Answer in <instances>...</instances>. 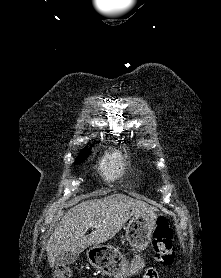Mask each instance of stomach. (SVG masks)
I'll list each match as a JSON object with an SVG mask.
<instances>
[{
    "mask_svg": "<svg viewBox=\"0 0 221 278\" xmlns=\"http://www.w3.org/2000/svg\"><path fill=\"white\" fill-rule=\"evenodd\" d=\"M155 213L136 214L126 227V240L134 249L144 250L151 242L152 233L156 226ZM87 257L97 270L105 275L115 278H139V269H144V264H128L118 249L110 245H97L89 249ZM145 258L144 254L140 255ZM135 269V270H134Z\"/></svg>",
    "mask_w": 221,
    "mask_h": 278,
    "instance_id": "stomach-1",
    "label": "stomach"
}]
</instances>
